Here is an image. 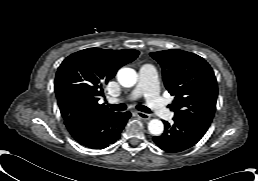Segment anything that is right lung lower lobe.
<instances>
[{"instance_id": "98d812e1", "label": "right lung lower lobe", "mask_w": 258, "mask_h": 181, "mask_svg": "<svg viewBox=\"0 0 258 181\" xmlns=\"http://www.w3.org/2000/svg\"><path fill=\"white\" fill-rule=\"evenodd\" d=\"M130 116V112L85 113L65 120L64 123L78 143L89 148L103 149L120 137Z\"/></svg>"}]
</instances>
